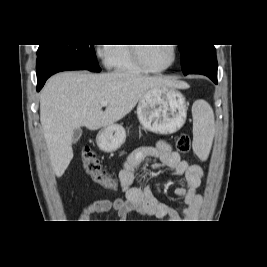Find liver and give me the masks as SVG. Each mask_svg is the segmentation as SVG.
Instances as JSON below:
<instances>
[{"mask_svg": "<svg viewBox=\"0 0 267 267\" xmlns=\"http://www.w3.org/2000/svg\"><path fill=\"white\" fill-rule=\"evenodd\" d=\"M162 87L186 89L189 85L169 77L128 72H62L51 77L40 94V121L55 175L61 177L73 159L75 129L112 125L148 91ZM104 101L108 102L105 111Z\"/></svg>", "mask_w": 267, "mask_h": 267, "instance_id": "6515ba94", "label": "liver"}]
</instances>
